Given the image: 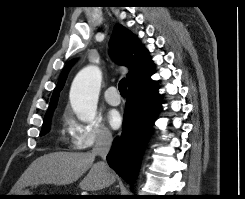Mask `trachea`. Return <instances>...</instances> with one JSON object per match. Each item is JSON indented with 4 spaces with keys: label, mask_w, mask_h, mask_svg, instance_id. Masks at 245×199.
<instances>
[{
    "label": "trachea",
    "mask_w": 245,
    "mask_h": 199,
    "mask_svg": "<svg viewBox=\"0 0 245 199\" xmlns=\"http://www.w3.org/2000/svg\"><path fill=\"white\" fill-rule=\"evenodd\" d=\"M121 95H126V80L122 79L118 85Z\"/></svg>",
    "instance_id": "1"
}]
</instances>
